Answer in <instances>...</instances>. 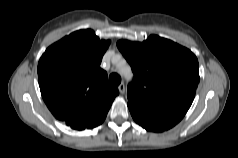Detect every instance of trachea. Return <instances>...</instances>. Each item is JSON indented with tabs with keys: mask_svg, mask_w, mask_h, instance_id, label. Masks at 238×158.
Wrapping results in <instances>:
<instances>
[{
	"mask_svg": "<svg viewBox=\"0 0 238 158\" xmlns=\"http://www.w3.org/2000/svg\"><path fill=\"white\" fill-rule=\"evenodd\" d=\"M110 83L114 86H118L121 83V78L117 73H112L109 76Z\"/></svg>",
	"mask_w": 238,
	"mask_h": 158,
	"instance_id": "obj_1",
	"label": "trachea"
}]
</instances>
